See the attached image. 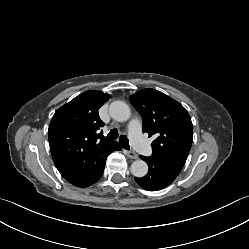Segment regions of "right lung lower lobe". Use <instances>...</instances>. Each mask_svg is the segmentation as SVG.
I'll return each mask as SVG.
<instances>
[{
    "mask_svg": "<svg viewBox=\"0 0 249 249\" xmlns=\"http://www.w3.org/2000/svg\"><path fill=\"white\" fill-rule=\"evenodd\" d=\"M120 149H121L120 145L117 142H114V144L112 146H110L99 157V159L96 163L95 169L92 171V173L89 175V177L84 181V183H82L79 187H87V186H90V185L94 184L95 182H97L103 174L105 162H106L108 155L111 152L116 151V150H120Z\"/></svg>",
    "mask_w": 249,
    "mask_h": 249,
    "instance_id": "right-lung-lower-lobe-1",
    "label": "right lung lower lobe"
}]
</instances>
